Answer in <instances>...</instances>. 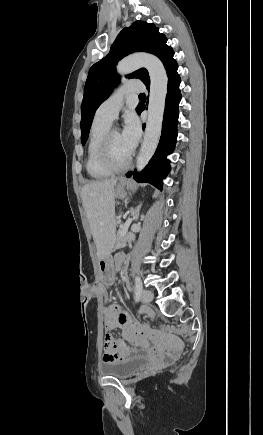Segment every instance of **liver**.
<instances>
[{
    "label": "liver",
    "mask_w": 263,
    "mask_h": 435,
    "mask_svg": "<svg viewBox=\"0 0 263 435\" xmlns=\"http://www.w3.org/2000/svg\"><path fill=\"white\" fill-rule=\"evenodd\" d=\"M117 178L92 181L82 188V202L99 259L109 255L115 240V195Z\"/></svg>",
    "instance_id": "liver-1"
}]
</instances>
